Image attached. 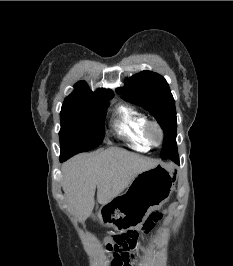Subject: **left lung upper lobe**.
<instances>
[{
    "label": "left lung upper lobe",
    "instance_id": "5c2ea615",
    "mask_svg": "<svg viewBox=\"0 0 233 266\" xmlns=\"http://www.w3.org/2000/svg\"><path fill=\"white\" fill-rule=\"evenodd\" d=\"M126 101L134 103L153 114L164 130L161 158L168 159L176 146L175 101L166 80L151 71H142L125 81V86L117 89Z\"/></svg>",
    "mask_w": 233,
    "mask_h": 266
}]
</instances>
